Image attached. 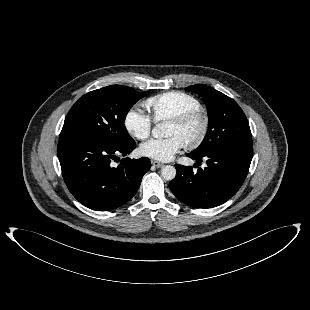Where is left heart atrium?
Masks as SVG:
<instances>
[{
    "instance_id": "obj_1",
    "label": "left heart atrium",
    "mask_w": 310,
    "mask_h": 310,
    "mask_svg": "<svg viewBox=\"0 0 310 310\" xmlns=\"http://www.w3.org/2000/svg\"><path fill=\"white\" fill-rule=\"evenodd\" d=\"M184 142L178 136L152 139L140 147L142 155L159 160L170 161L183 148Z\"/></svg>"
}]
</instances>
